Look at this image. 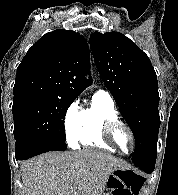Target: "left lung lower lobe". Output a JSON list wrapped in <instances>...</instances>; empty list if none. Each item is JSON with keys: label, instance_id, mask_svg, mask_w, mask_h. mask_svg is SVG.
<instances>
[{"label": "left lung lower lobe", "instance_id": "0a47b994", "mask_svg": "<svg viewBox=\"0 0 178 195\" xmlns=\"http://www.w3.org/2000/svg\"><path fill=\"white\" fill-rule=\"evenodd\" d=\"M157 152L133 159V163L146 173H152L155 168Z\"/></svg>", "mask_w": 178, "mask_h": 195}]
</instances>
